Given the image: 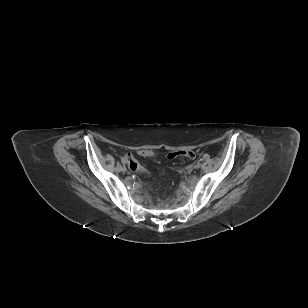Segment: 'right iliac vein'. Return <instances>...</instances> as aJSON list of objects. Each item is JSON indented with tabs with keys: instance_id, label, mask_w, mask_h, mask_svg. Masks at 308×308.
<instances>
[{
	"instance_id": "right-iliac-vein-1",
	"label": "right iliac vein",
	"mask_w": 308,
	"mask_h": 308,
	"mask_svg": "<svg viewBox=\"0 0 308 308\" xmlns=\"http://www.w3.org/2000/svg\"><path fill=\"white\" fill-rule=\"evenodd\" d=\"M118 171L126 172V168L123 167L122 165L117 166Z\"/></svg>"
}]
</instances>
